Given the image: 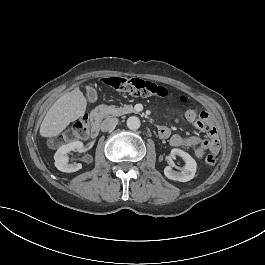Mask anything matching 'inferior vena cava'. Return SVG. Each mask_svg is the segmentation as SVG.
Masks as SVG:
<instances>
[{
  "instance_id": "602c4592",
  "label": "inferior vena cava",
  "mask_w": 265,
  "mask_h": 265,
  "mask_svg": "<svg viewBox=\"0 0 265 265\" xmlns=\"http://www.w3.org/2000/svg\"><path fill=\"white\" fill-rule=\"evenodd\" d=\"M117 124H118L117 118H107L101 123L100 128L103 132H107L109 130L114 129Z\"/></svg>"
}]
</instances>
